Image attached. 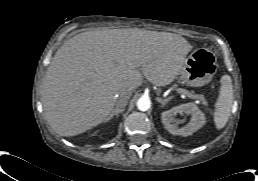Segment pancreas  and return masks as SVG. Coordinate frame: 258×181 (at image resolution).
I'll return each instance as SVG.
<instances>
[{
    "label": "pancreas",
    "mask_w": 258,
    "mask_h": 181,
    "mask_svg": "<svg viewBox=\"0 0 258 181\" xmlns=\"http://www.w3.org/2000/svg\"><path fill=\"white\" fill-rule=\"evenodd\" d=\"M195 95H196V99L204 101V96L202 94H195Z\"/></svg>",
    "instance_id": "1"
}]
</instances>
